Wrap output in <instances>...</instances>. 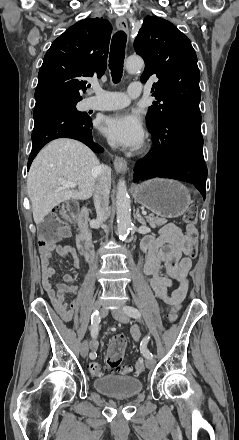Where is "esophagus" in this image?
I'll use <instances>...</instances> for the list:
<instances>
[{"instance_id":"1","label":"esophagus","mask_w":239,"mask_h":440,"mask_svg":"<svg viewBox=\"0 0 239 440\" xmlns=\"http://www.w3.org/2000/svg\"><path fill=\"white\" fill-rule=\"evenodd\" d=\"M116 26L119 30L129 33L128 23L125 18L119 17L116 20ZM114 168L119 173H125L127 171V162L124 158L116 156L114 159Z\"/></svg>"}]
</instances>
